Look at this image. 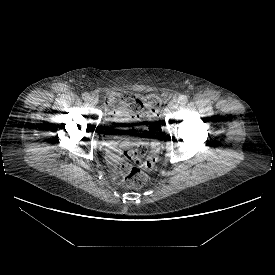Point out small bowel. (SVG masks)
<instances>
[{
    "mask_svg": "<svg viewBox=\"0 0 275 275\" xmlns=\"http://www.w3.org/2000/svg\"><path fill=\"white\" fill-rule=\"evenodd\" d=\"M137 97H132L123 93L111 92L106 98V110L108 115L114 119L136 120L139 118L140 113L133 107V101ZM109 148L108 162L115 179L128 170V159L133 157L132 150L127 149L124 152V157L120 159L118 152L121 148H129L131 143L128 141L110 140L107 143ZM119 161L121 163L119 164Z\"/></svg>",
    "mask_w": 275,
    "mask_h": 275,
    "instance_id": "1",
    "label": "small bowel"
}]
</instances>
